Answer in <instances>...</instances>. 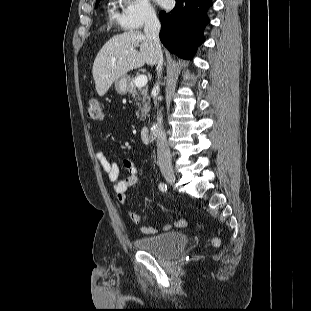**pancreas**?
I'll use <instances>...</instances> for the list:
<instances>
[{
	"mask_svg": "<svg viewBox=\"0 0 311 311\" xmlns=\"http://www.w3.org/2000/svg\"><path fill=\"white\" fill-rule=\"evenodd\" d=\"M128 93L131 94L135 100L142 101V107L140 102L137 103V105L139 106V110L137 111L136 115L137 118H140V120H144L143 118L150 109V97L148 96V88L146 87L142 89L141 87H137L135 85V79L131 78L129 79Z\"/></svg>",
	"mask_w": 311,
	"mask_h": 311,
	"instance_id": "cf45deb5",
	"label": "pancreas"
}]
</instances>
